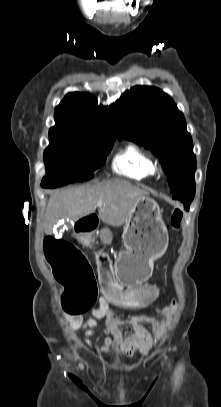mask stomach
<instances>
[{"label":"stomach","mask_w":221,"mask_h":407,"mask_svg":"<svg viewBox=\"0 0 221 407\" xmlns=\"http://www.w3.org/2000/svg\"><path fill=\"white\" fill-rule=\"evenodd\" d=\"M122 240L125 249L115 259L116 278L125 286L147 281L154 261L165 253L169 241L162 210L155 200L146 196L139 199L125 224Z\"/></svg>","instance_id":"1"}]
</instances>
